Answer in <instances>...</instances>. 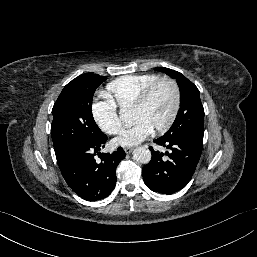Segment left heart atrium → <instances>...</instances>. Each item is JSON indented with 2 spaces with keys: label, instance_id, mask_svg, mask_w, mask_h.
Masks as SVG:
<instances>
[{
  "label": "left heart atrium",
  "instance_id": "1",
  "mask_svg": "<svg viewBox=\"0 0 257 257\" xmlns=\"http://www.w3.org/2000/svg\"><path fill=\"white\" fill-rule=\"evenodd\" d=\"M153 129L144 121H137L132 127L126 128L113 140L116 146H135L150 136Z\"/></svg>",
  "mask_w": 257,
  "mask_h": 257
}]
</instances>
